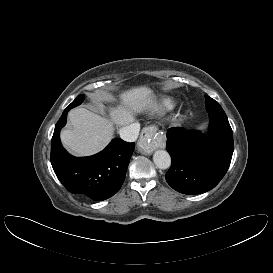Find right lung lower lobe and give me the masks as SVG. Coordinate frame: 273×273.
Returning a JSON list of instances; mask_svg holds the SVG:
<instances>
[{"instance_id":"obj_1","label":"right lung lower lobe","mask_w":273,"mask_h":273,"mask_svg":"<svg viewBox=\"0 0 273 273\" xmlns=\"http://www.w3.org/2000/svg\"><path fill=\"white\" fill-rule=\"evenodd\" d=\"M68 109L57 122L51 140V164L63 186L73 194L86 195L94 201L113 196L121 188L135 148L115 138L100 153L90 157H73L60 141V130L66 124Z\"/></svg>"}]
</instances>
